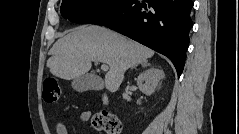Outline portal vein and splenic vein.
<instances>
[{"instance_id": "obj_1", "label": "portal vein and splenic vein", "mask_w": 239, "mask_h": 134, "mask_svg": "<svg viewBox=\"0 0 239 134\" xmlns=\"http://www.w3.org/2000/svg\"><path fill=\"white\" fill-rule=\"evenodd\" d=\"M101 69H102L103 71H107V70H108V65H107L106 63H103V64L101 65Z\"/></svg>"}]
</instances>
